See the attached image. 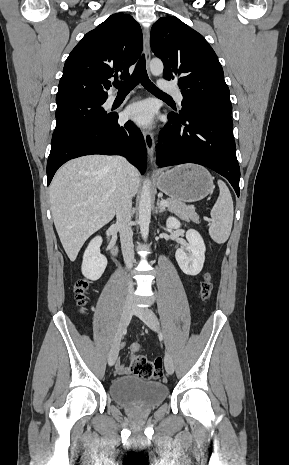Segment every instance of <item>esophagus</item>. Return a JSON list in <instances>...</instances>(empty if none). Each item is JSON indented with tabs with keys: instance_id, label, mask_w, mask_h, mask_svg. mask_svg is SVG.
<instances>
[{
	"instance_id": "esophagus-1",
	"label": "esophagus",
	"mask_w": 289,
	"mask_h": 465,
	"mask_svg": "<svg viewBox=\"0 0 289 465\" xmlns=\"http://www.w3.org/2000/svg\"><path fill=\"white\" fill-rule=\"evenodd\" d=\"M143 43H144V53H145V60L146 65L149 67L151 53H150V34L149 29L145 28L143 31ZM144 141L146 145L147 152L150 156V160H153V150H154V135L149 130L143 131Z\"/></svg>"
}]
</instances>
